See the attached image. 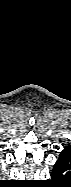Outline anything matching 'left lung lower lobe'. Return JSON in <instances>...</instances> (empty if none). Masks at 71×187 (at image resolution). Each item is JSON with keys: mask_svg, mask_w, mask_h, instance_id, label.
<instances>
[{"mask_svg": "<svg viewBox=\"0 0 71 187\" xmlns=\"http://www.w3.org/2000/svg\"><path fill=\"white\" fill-rule=\"evenodd\" d=\"M51 176L54 182H69L71 178V148L65 147L56 161Z\"/></svg>", "mask_w": 71, "mask_h": 187, "instance_id": "obj_1", "label": "left lung lower lobe"}]
</instances>
